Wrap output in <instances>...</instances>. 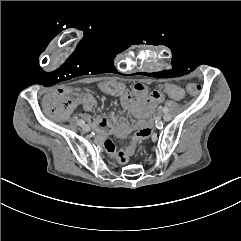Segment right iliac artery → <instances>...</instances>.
Wrapping results in <instances>:
<instances>
[{"label": "right iliac artery", "instance_id": "right-iliac-artery-1", "mask_svg": "<svg viewBox=\"0 0 241 241\" xmlns=\"http://www.w3.org/2000/svg\"><path fill=\"white\" fill-rule=\"evenodd\" d=\"M84 123H85V122H84L82 119H79V120H78V125H79V126H83Z\"/></svg>", "mask_w": 241, "mask_h": 241}]
</instances>
